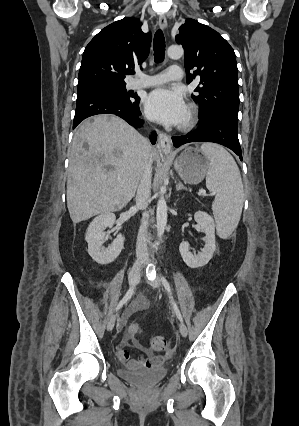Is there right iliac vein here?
I'll list each match as a JSON object with an SVG mask.
<instances>
[{
  "mask_svg": "<svg viewBox=\"0 0 299 426\" xmlns=\"http://www.w3.org/2000/svg\"><path fill=\"white\" fill-rule=\"evenodd\" d=\"M140 279V268H133L129 275H128V281L130 286H135ZM117 314H112L107 322V330L111 331L114 328L115 321H116Z\"/></svg>",
  "mask_w": 299,
  "mask_h": 426,
  "instance_id": "right-iliac-vein-1",
  "label": "right iliac vein"
}]
</instances>
